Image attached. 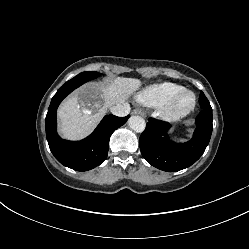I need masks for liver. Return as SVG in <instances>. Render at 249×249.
<instances>
[{"label":"liver","instance_id":"1","mask_svg":"<svg viewBox=\"0 0 249 249\" xmlns=\"http://www.w3.org/2000/svg\"><path fill=\"white\" fill-rule=\"evenodd\" d=\"M140 86L141 81L138 79L121 77L100 89L91 86L80 90L67 98L58 109L61 134L68 139H80L88 135L108 108L123 104Z\"/></svg>","mask_w":249,"mask_h":249}]
</instances>
